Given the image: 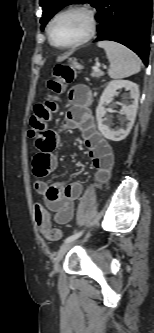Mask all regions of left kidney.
Segmentation results:
<instances>
[{"label": "left kidney", "mask_w": 154, "mask_h": 333, "mask_svg": "<svg viewBox=\"0 0 154 333\" xmlns=\"http://www.w3.org/2000/svg\"><path fill=\"white\" fill-rule=\"evenodd\" d=\"M121 88H125L126 90L130 91V97L133 101L129 105L122 106V113L126 116L127 123L123 124L121 128L113 130L111 128L112 118L106 117L105 105L111 101V99L117 94V90ZM138 99L139 87L132 81L113 80L107 84L96 108L98 129L105 138L112 141H121L128 136L136 118Z\"/></svg>", "instance_id": "left-kidney-1"}]
</instances>
